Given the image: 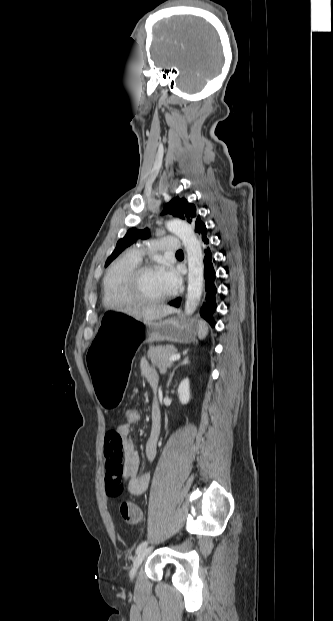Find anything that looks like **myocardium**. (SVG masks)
<instances>
[{"instance_id": "f54148a6", "label": "myocardium", "mask_w": 333, "mask_h": 621, "mask_svg": "<svg viewBox=\"0 0 333 621\" xmlns=\"http://www.w3.org/2000/svg\"><path fill=\"white\" fill-rule=\"evenodd\" d=\"M158 270V266L154 264H142L134 267L124 278L122 282V293L126 300L131 304L139 305H158L168 301L171 293L156 299L143 297L137 290L138 280L144 273Z\"/></svg>"}]
</instances>
